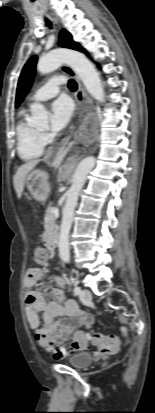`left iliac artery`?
<instances>
[{
	"label": "left iliac artery",
	"instance_id": "left-iliac-artery-1",
	"mask_svg": "<svg viewBox=\"0 0 155 413\" xmlns=\"http://www.w3.org/2000/svg\"><path fill=\"white\" fill-rule=\"evenodd\" d=\"M80 292H81V288H80L79 286H76V287L74 288V294H75V295H79Z\"/></svg>",
	"mask_w": 155,
	"mask_h": 413
}]
</instances>
